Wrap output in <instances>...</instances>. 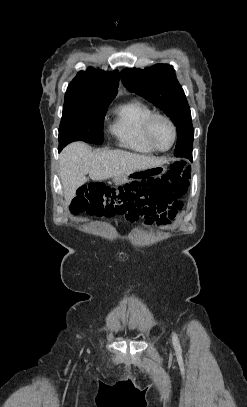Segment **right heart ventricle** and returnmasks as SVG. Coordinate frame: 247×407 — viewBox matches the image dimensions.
<instances>
[{
  "label": "right heart ventricle",
  "mask_w": 247,
  "mask_h": 407,
  "mask_svg": "<svg viewBox=\"0 0 247 407\" xmlns=\"http://www.w3.org/2000/svg\"><path fill=\"white\" fill-rule=\"evenodd\" d=\"M152 113L149 106L137 100L122 104L113 111L110 131L122 147L141 154H152L155 150L144 134L145 121Z\"/></svg>",
  "instance_id": "e07e8e85"
}]
</instances>
